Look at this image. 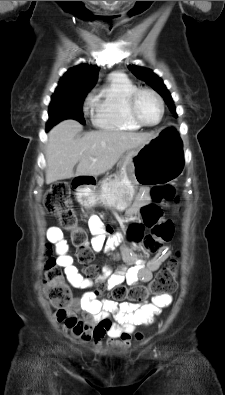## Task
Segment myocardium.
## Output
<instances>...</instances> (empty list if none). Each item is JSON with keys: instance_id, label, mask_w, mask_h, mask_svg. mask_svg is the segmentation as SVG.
Returning <instances> with one entry per match:
<instances>
[{"instance_id": "f54148a6", "label": "myocardium", "mask_w": 225, "mask_h": 395, "mask_svg": "<svg viewBox=\"0 0 225 395\" xmlns=\"http://www.w3.org/2000/svg\"><path fill=\"white\" fill-rule=\"evenodd\" d=\"M142 94H149V95L153 96L159 104L160 116H159L158 121L153 124L144 122L138 115L137 102H138L139 97ZM127 110H128V114H129L130 118L140 127H155V126L159 125L161 123V121L163 120L164 113H165V105H164V101H163L162 97L155 90L150 89V88H137L128 97Z\"/></svg>"}]
</instances>
